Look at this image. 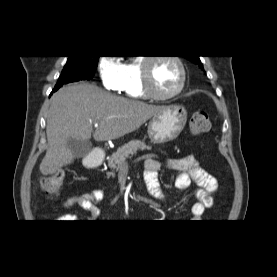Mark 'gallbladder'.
<instances>
[{
    "label": "gallbladder",
    "instance_id": "gallbladder-1",
    "mask_svg": "<svg viewBox=\"0 0 277 277\" xmlns=\"http://www.w3.org/2000/svg\"><path fill=\"white\" fill-rule=\"evenodd\" d=\"M76 158L87 156L92 150V144L88 140H81L75 137L69 138L66 144Z\"/></svg>",
    "mask_w": 277,
    "mask_h": 277
}]
</instances>
